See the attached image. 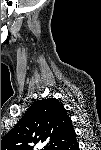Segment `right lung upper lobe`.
I'll return each mask as SVG.
<instances>
[{
    "mask_svg": "<svg viewBox=\"0 0 101 150\" xmlns=\"http://www.w3.org/2000/svg\"><path fill=\"white\" fill-rule=\"evenodd\" d=\"M75 134L65 109L54 98L35 101L23 120L2 140L1 148L7 150H30L31 144L52 142L63 150L74 144Z\"/></svg>",
    "mask_w": 101,
    "mask_h": 150,
    "instance_id": "obj_1",
    "label": "right lung upper lobe"
}]
</instances>
